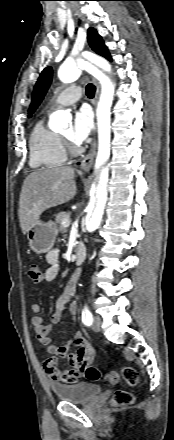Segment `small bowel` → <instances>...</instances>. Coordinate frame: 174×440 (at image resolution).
Instances as JSON below:
<instances>
[{
	"label": "small bowel",
	"instance_id": "small-bowel-1",
	"mask_svg": "<svg viewBox=\"0 0 174 440\" xmlns=\"http://www.w3.org/2000/svg\"><path fill=\"white\" fill-rule=\"evenodd\" d=\"M46 261L48 267L44 272V279L51 282L57 278L60 272L59 249H51L46 255ZM78 280L79 272H74L66 284L64 293L54 303V312L50 324L45 325L44 319L39 315L42 311L41 305L37 302H33L31 305L32 311L36 314L32 317L31 323L37 339L46 347V352L53 355L52 358L45 361V371L52 381L64 384L77 382L82 376L85 366L90 363L95 355L94 348L80 332L68 338L60 346L53 345L49 336L51 328L59 323L67 305L72 315L77 313L78 305L73 297ZM58 358H67L71 368L68 370L61 369Z\"/></svg>",
	"mask_w": 174,
	"mask_h": 440
}]
</instances>
